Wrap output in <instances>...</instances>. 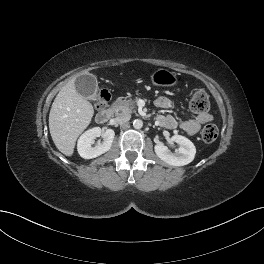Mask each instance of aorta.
I'll return each instance as SVG.
<instances>
[{"instance_id":"aorta-1","label":"aorta","mask_w":264,"mask_h":264,"mask_svg":"<svg viewBox=\"0 0 264 264\" xmlns=\"http://www.w3.org/2000/svg\"><path fill=\"white\" fill-rule=\"evenodd\" d=\"M133 127H134L135 129H141V128L143 127V121L140 120V119H135V120L133 121Z\"/></svg>"}]
</instances>
